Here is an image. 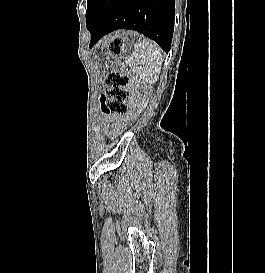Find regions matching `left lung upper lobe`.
<instances>
[{"label": "left lung upper lobe", "instance_id": "obj_1", "mask_svg": "<svg viewBox=\"0 0 265 273\" xmlns=\"http://www.w3.org/2000/svg\"><path fill=\"white\" fill-rule=\"evenodd\" d=\"M88 3V2H87ZM89 11H88V7H87V11H86V17L88 16ZM100 20H102V17L100 18Z\"/></svg>", "mask_w": 265, "mask_h": 273}]
</instances>
